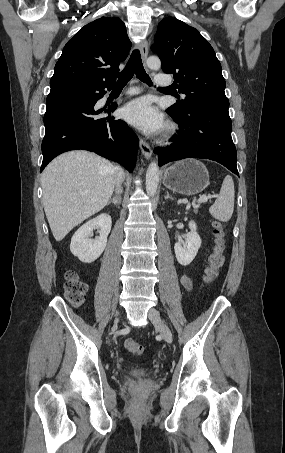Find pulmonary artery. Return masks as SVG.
<instances>
[{"label": "pulmonary artery", "mask_w": 285, "mask_h": 453, "mask_svg": "<svg viewBox=\"0 0 285 453\" xmlns=\"http://www.w3.org/2000/svg\"><path fill=\"white\" fill-rule=\"evenodd\" d=\"M169 82H170V80L165 74H157L155 76V83L157 85H167V84H169ZM137 92H138V90H136V89H131L130 91H128L129 94H135Z\"/></svg>", "instance_id": "e3ab8cb5"}]
</instances>
